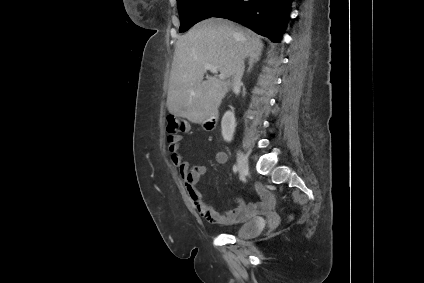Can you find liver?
Here are the masks:
<instances>
[{"mask_svg":"<svg viewBox=\"0 0 424 283\" xmlns=\"http://www.w3.org/2000/svg\"><path fill=\"white\" fill-rule=\"evenodd\" d=\"M262 48L258 35L228 20L210 18L194 25L176 43L167 95L169 113L206 123L229 91L238 61ZM206 64L216 66L224 79L210 76L203 81Z\"/></svg>","mask_w":424,"mask_h":283,"instance_id":"1","label":"liver"}]
</instances>
